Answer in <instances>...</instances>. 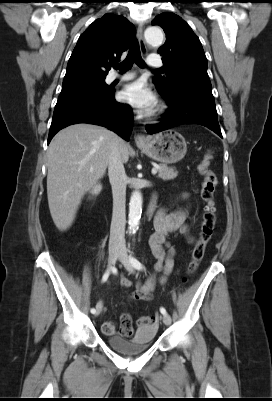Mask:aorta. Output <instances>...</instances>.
<instances>
[{"label": "aorta", "mask_w": 272, "mask_h": 401, "mask_svg": "<svg viewBox=\"0 0 272 401\" xmlns=\"http://www.w3.org/2000/svg\"><path fill=\"white\" fill-rule=\"evenodd\" d=\"M146 41L155 46L162 44L164 35L163 31L159 27H148L144 33ZM142 213V195L140 191H134L130 198L129 203V229L135 231L138 229Z\"/></svg>", "instance_id": "aorta-1"}]
</instances>
